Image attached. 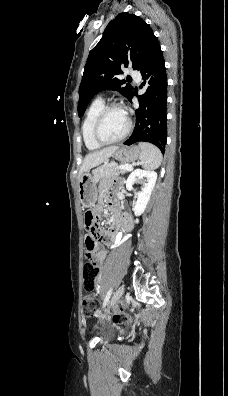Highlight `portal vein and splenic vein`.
I'll return each instance as SVG.
<instances>
[{
	"instance_id": "18ae733b",
	"label": "portal vein and splenic vein",
	"mask_w": 228,
	"mask_h": 396,
	"mask_svg": "<svg viewBox=\"0 0 228 396\" xmlns=\"http://www.w3.org/2000/svg\"><path fill=\"white\" fill-rule=\"evenodd\" d=\"M119 169H123V170H132V166L130 165H121L119 166Z\"/></svg>"
}]
</instances>
